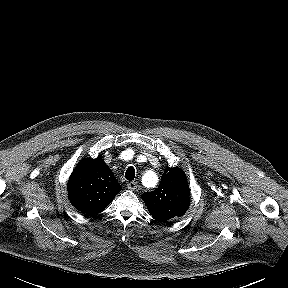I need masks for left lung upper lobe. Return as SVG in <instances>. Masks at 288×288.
Segmentation results:
<instances>
[{"instance_id":"5c2ea615","label":"left lung upper lobe","mask_w":288,"mask_h":288,"mask_svg":"<svg viewBox=\"0 0 288 288\" xmlns=\"http://www.w3.org/2000/svg\"><path fill=\"white\" fill-rule=\"evenodd\" d=\"M150 214L160 222L182 216L189 207V185L179 168H167L157 189L143 193Z\"/></svg>"}]
</instances>
